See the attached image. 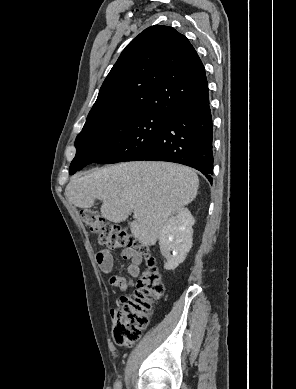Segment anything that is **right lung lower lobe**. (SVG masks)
Instances as JSON below:
<instances>
[{
	"label": "right lung lower lobe",
	"mask_w": 296,
	"mask_h": 389,
	"mask_svg": "<svg viewBox=\"0 0 296 389\" xmlns=\"http://www.w3.org/2000/svg\"><path fill=\"white\" fill-rule=\"evenodd\" d=\"M137 160L187 165L202 172L212 183L213 121L209 99L171 115L165 128L139 154ZM84 166H77L70 174Z\"/></svg>",
	"instance_id": "1"
}]
</instances>
